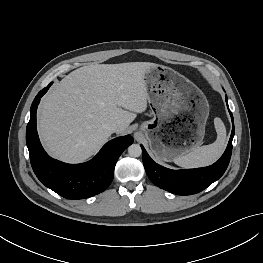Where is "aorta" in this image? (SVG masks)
<instances>
[{"label":"aorta","mask_w":263,"mask_h":263,"mask_svg":"<svg viewBox=\"0 0 263 263\" xmlns=\"http://www.w3.org/2000/svg\"><path fill=\"white\" fill-rule=\"evenodd\" d=\"M128 154L131 157H139L142 154V149L139 144H132L128 147Z\"/></svg>","instance_id":"obj_1"}]
</instances>
